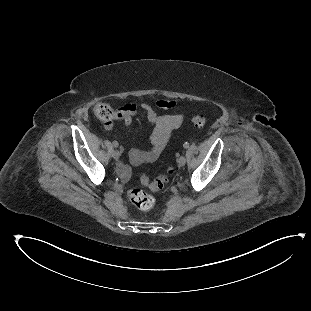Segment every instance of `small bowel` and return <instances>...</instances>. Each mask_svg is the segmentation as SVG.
Listing matches in <instances>:
<instances>
[{
  "instance_id": "c3829d8e",
  "label": "small bowel",
  "mask_w": 311,
  "mask_h": 311,
  "mask_svg": "<svg viewBox=\"0 0 311 311\" xmlns=\"http://www.w3.org/2000/svg\"><path fill=\"white\" fill-rule=\"evenodd\" d=\"M175 105V102L172 100H159L155 103L156 107L163 110H172ZM139 111L146 114L147 120L151 126V132L149 134L151 148L147 151L139 149H132L129 151V161L134 166H140L157 160L173 132L183 122V116L181 114L158 115L153 105L149 102H141L139 105L125 103L117 109L119 119L125 126H129L132 123L133 118L137 116Z\"/></svg>"
}]
</instances>
